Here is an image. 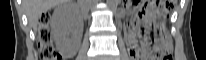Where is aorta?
Wrapping results in <instances>:
<instances>
[{
  "label": "aorta",
  "mask_w": 206,
  "mask_h": 60,
  "mask_svg": "<svg viewBox=\"0 0 206 60\" xmlns=\"http://www.w3.org/2000/svg\"><path fill=\"white\" fill-rule=\"evenodd\" d=\"M109 4L112 5L114 0H108Z\"/></svg>",
  "instance_id": "762f6f07"
}]
</instances>
